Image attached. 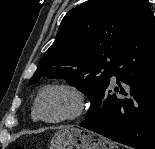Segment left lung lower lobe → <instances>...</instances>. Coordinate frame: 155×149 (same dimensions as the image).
Segmentation results:
<instances>
[{
    "instance_id": "obj_1",
    "label": "left lung lower lobe",
    "mask_w": 155,
    "mask_h": 149,
    "mask_svg": "<svg viewBox=\"0 0 155 149\" xmlns=\"http://www.w3.org/2000/svg\"><path fill=\"white\" fill-rule=\"evenodd\" d=\"M109 82L91 100L81 127L136 149H155V23L148 14L118 53Z\"/></svg>"
}]
</instances>
